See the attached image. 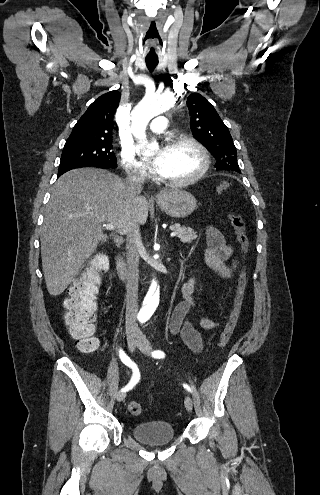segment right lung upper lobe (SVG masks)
Listing matches in <instances>:
<instances>
[{
  "instance_id": "obj_1",
  "label": "right lung upper lobe",
  "mask_w": 320,
  "mask_h": 495,
  "mask_svg": "<svg viewBox=\"0 0 320 495\" xmlns=\"http://www.w3.org/2000/svg\"><path fill=\"white\" fill-rule=\"evenodd\" d=\"M120 97V92L113 90L97 98L76 123L67 141L112 142L113 118Z\"/></svg>"
}]
</instances>
